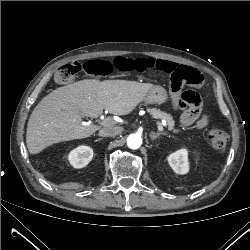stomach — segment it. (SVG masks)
<instances>
[{"label": "stomach", "instance_id": "obj_1", "mask_svg": "<svg viewBox=\"0 0 250 250\" xmlns=\"http://www.w3.org/2000/svg\"><path fill=\"white\" fill-rule=\"evenodd\" d=\"M143 101L147 104H163L168 101L167 91L160 86H154L148 91Z\"/></svg>", "mask_w": 250, "mask_h": 250}]
</instances>
